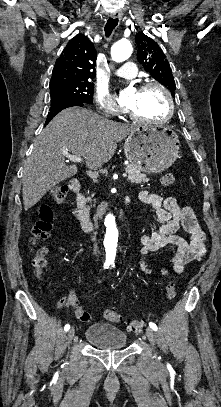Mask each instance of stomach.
Here are the masks:
<instances>
[{"label": "stomach", "mask_w": 221, "mask_h": 407, "mask_svg": "<svg viewBox=\"0 0 221 407\" xmlns=\"http://www.w3.org/2000/svg\"><path fill=\"white\" fill-rule=\"evenodd\" d=\"M180 142L170 127L139 126L124 144V152L133 167L157 174L168 169L176 160Z\"/></svg>", "instance_id": "1"}]
</instances>
